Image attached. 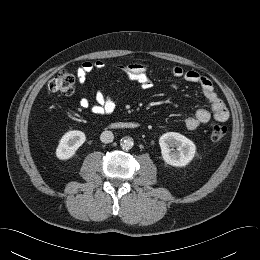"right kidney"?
<instances>
[{
	"label": "right kidney",
	"mask_w": 260,
	"mask_h": 260,
	"mask_svg": "<svg viewBox=\"0 0 260 260\" xmlns=\"http://www.w3.org/2000/svg\"><path fill=\"white\" fill-rule=\"evenodd\" d=\"M86 136L84 132L72 130L66 132L59 141L56 149V156L60 160L71 158L77 149L85 142Z\"/></svg>",
	"instance_id": "1"
}]
</instances>
